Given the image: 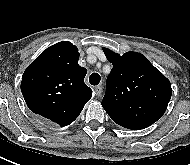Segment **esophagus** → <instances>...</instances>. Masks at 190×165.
<instances>
[{
  "label": "esophagus",
  "mask_w": 190,
  "mask_h": 165,
  "mask_svg": "<svg viewBox=\"0 0 190 165\" xmlns=\"http://www.w3.org/2000/svg\"><path fill=\"white\" fill-rule=\"evenodd\" d=\"M94 93H95L96 96L99 97L101 95V93H102V86L101 85L96 86L94 88Z\"/></svg>",
  "instance_id": "1"
}]
</instances>
